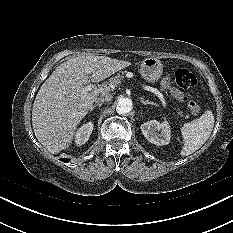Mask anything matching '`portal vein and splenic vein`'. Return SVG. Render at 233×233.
Returning a JSON list of instances; mask_svg holds the SVG:
<instances>
[{"instance_id": "obj_1", "label": "portal vein and splenic vein", "mask_w": 233, "mask_h": 233, "mask_svg": "<svg viewBox=\"0 0 233 233\" xmlns=\"http://www.w3.org/2000/svg\"><path fill=\"white\" fill-rule=\"evenodd\" d=\"M94 89V86L92 84H89L87 86L84 87V90L85 91H92L94 93H106L108 91V88H98V89ZM144 89L147 90V91H150V92H153L156 96H158V98L160 99V101L162 102V105L163 107H166V102H165V99L162 95V93H160L157 89L153 88V87H150V86H144Z\"/></svg>"}]
</instances>
